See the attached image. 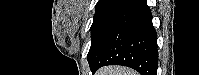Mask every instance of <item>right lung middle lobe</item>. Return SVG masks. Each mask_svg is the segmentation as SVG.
Segmentation results:
<instances>
[{
    "mask_svg": "<svg viewBox=\"0 0 199 75\" xmlns=\"http://www.w3.org/2000/svg\"><path fill=\"white\" fill-rule=\"evenodd\" d=\"M127 2L128 0H113L95 7L96 10L94 20L90 28L92 43L87 55L88 60L99 45L109 25L118 13L125 7Z\"/></svg>",
    "mask_w": 199,
    "mask_h": 75,
    "instance_id": "right-lung-middle-lobe-1",
    "label": "right lung middle lobe"
}]
</instances>
